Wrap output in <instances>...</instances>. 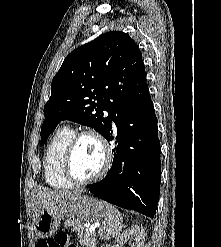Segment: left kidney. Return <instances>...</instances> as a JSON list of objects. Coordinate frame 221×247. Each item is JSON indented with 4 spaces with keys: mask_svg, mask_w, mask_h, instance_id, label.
I'll return each mask as SVG.
<instances>
[{
    "mask_svg": "<svg viewBox=\"0 0 221 247\" xmlns=\"http://www.w3.org/2000/svg\"><path fill=\"white\" fill-rule=\"evenodd\" d=\"M127 238L134 239L132 247H143L145 242V229L143 226H133L116 238V242L123 244Z\"/></svg>",
    "mask_w": 221,
    "mask_h": 247,
    "instance_id": "1",
    "label": "left kidney"
}]
</instances>
